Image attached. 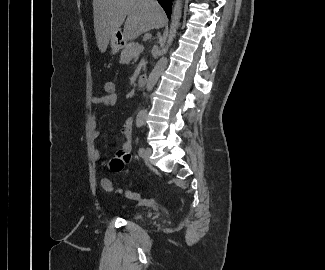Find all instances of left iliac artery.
<instances>
[{
	"mask_svg": "<svg viewBox=\"0 0 325 270\" xmlns=\"http://www.w3.org/2000/svg\"><path fill=\"white\" fill-rule=\"evenodd\" d=\"M137 126H138V127L142 126V122H138V123H137ZM144 150H145V149H144L143 147H140L139 150H138V154H139L140 156H142L143 153H144Z\"/></svg>",
	"mask_w": 325,
	"mask_h": 270,
	"instance_id": "44dca946",
	"label": "left iliac artery"
}]
</instances>
